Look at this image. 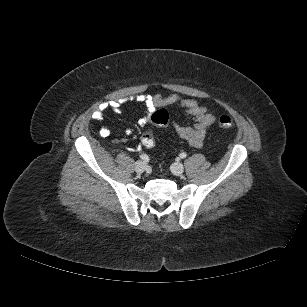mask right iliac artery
I'll return each instance as SVG.
<instances>
[{
    "instance_id": "right-iliac-artery-1",
    "label": "right iliac artery",
    "mask_w": 307,
    "mask_h": 307,
    "mask_svg": "<svg viewBox=\"0 0 307 307\" xmlns=\"http://www.w3.org/2000/svg\"><path fill=\"white\" fill-rule=\"evenodd\" d=\"M140 158H141L143 161H145V162H148V160H149V157H148V155H146V154L140 155Z\"/></svg>"
}]
</instances>
